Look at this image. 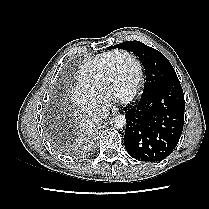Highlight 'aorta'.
Returning a JSON list of instances; mask_svg holds the SVG:
<instances>
[{
    "label": "aorta",
    "mask_w": 209,
    "mask_h": 209,
    "mask_svg": "<svg viewBox=\"0 0 209 209\" xmlns=\"http://www.w3.org/2000/svg\"><path fill=\"white\" fill-rule=\"evenodd\" d=\"M110 125L114 128L121 129L126 125V119L124 115L115 114L110 119Z\"/></svg>",
    "instance_id": "1"
}]
</instances>
